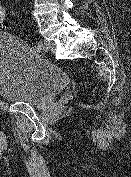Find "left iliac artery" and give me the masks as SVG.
Masks as SVG:
<instances>
[{
  "mask_svg": "<svg viewBox=\"0 0 131 177\" xmlns=\"http://www.w3.org/2000/svg\"><path fill=\"white\" fill-rule=\"evenodd\" d=\"M36 47H37L38 50L44 49V45H43L42 42H38Z\"/></svg>",
  "mask_w": 131,
  "mask_h": 177,
  "instance_id": "44dca946",
  "label": "left iliac artery"
}]
</instances>
